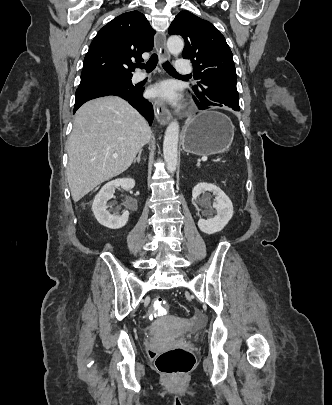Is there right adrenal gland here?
<instances>
[{
    "instance_id": "2a0ac1e0",
    "label": "right adrenal gland",
    "mask_w": 332,
    "mask_h": 405,
    "mask_svg": "<svg viewBox=\"0 0 332 405\" xmlns=\"http://www.w3.org/2000/svg\"><path fill=\"white\" fill-rule=\"evenodd\" d=\"M141 154H142V150L139 151L138 156L134 159V161H133L134 163H135V162H140V160H141Z\"/></svg>"
}]
</instances>
